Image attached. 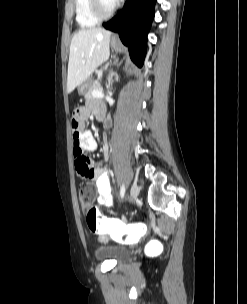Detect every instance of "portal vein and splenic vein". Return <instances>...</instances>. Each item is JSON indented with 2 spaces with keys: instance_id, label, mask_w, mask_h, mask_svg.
Wrapping results in <instances>:
<instances>
[{
  "instance_id": "portal-vein-and-splenic-vein-1",
  "label": "portal vein and splenic vein",
  "mask_w": 247,
  "mask_h": 304,
  "mask_svg": "<svg viewBox=\"0 0 247 304\" xmlns=\"http://www.w3.org/2000/svg\"><path fill=\"white\" fill-rule=\"evenodd\" d=\"M92 96L96 98H101L104 96L102 90H94L92 91Z\"/></svg>"
}]
</instances>
